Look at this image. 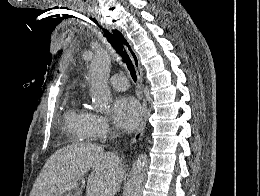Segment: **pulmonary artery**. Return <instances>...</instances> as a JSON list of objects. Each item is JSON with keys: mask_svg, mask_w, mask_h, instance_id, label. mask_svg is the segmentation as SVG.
I'll use <instances>...</instances> for the list:
<instances>
[{"mask_svg": "<svg viewBox=\"0 0 260 196\" xmlns=\"http://www.w3.org/2000/svg\"><path fill=\"white\" fill-rule=\"evenodd\" d=\"M106 84H126L127 76H122L121 72H116L113 79H106ZM108 90H128V85H108Z\"/></svg>", "mask_w": 260, "mask_h": 196, "instance_id": "e3ab8cb5", "label": "pulmonary artery"}]
</instances>
